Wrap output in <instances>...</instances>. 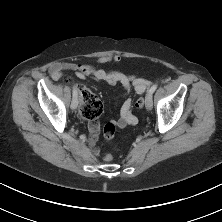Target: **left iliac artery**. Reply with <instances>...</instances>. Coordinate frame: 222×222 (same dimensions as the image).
Returning <instances> with one entry per match:
<instances>
[{"label": "left iliac artery", "instance_id": "44dca946", "mask_svg": "<svg viewBox=\"0 0 222 222\" xmlns=\"http://www.w3.org/2000/svg\"><path fill=\"white\" fill-rule=\"evenodd\" d=\"M157 84H154L151 88H150V90H149V92H151L152 94L155 92V90L157 89Z\"/></svg>", "mask_w": 222, "mask_h": 222}]
</instances>
